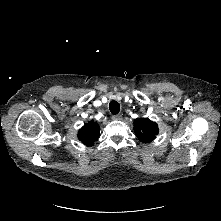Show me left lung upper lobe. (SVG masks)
Here are the masks:
<instances>
[{"mask_svg": "<svg viewBox=\"0 0 221 221\" xmlns=\"http://www.w3.org/2000/svg\"><path fill=\"white\" fill-rule=\"evenodd\" d=\"M134 132L141 142L149 143L156 138L158 126L150 119L138 118L134 121Z\"/></svg>", "mask_w": 221, "mask_h": 221, "instance_id": "obj_1", "label": "left lung upper lobe"}]
</instances>
